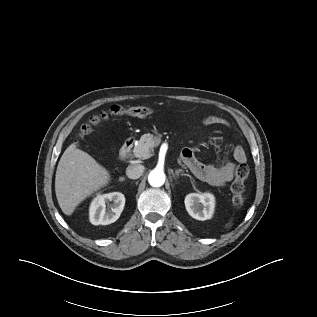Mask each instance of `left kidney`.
<instances>
[{
    "label": "left kidney",
    "mask_w": 317,
    "mask_h": 317,
    "mask_svg": "<svg viewBox=\"0 0 317 317\" xmlns=\"http://www.w3.org/2000/svg\"><path fill=\"white\" fill-rule=\"evenodd\" d=\"M184 203L191 217L204 221L213 215L215 198L210 193H191L186 196Z\"/></svg>",
    "instance_id": "obj_1"
}]
</instances>
